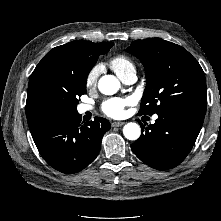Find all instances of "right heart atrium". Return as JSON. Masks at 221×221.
<instances>
[{
	"label": "right heart atrium",
	"instance_id": "d8ad5b80",
	"mask_svg": "<svg viewBox=\"0 0 221 221\" xmlns=\"http://www.w3.org/2000/svg\"><path fill=\"white\" fill-rule=\"evenodd\" d=\"M101 66L96 64L94 65L90 71L88 72L86 78H85V86L87 88H93L97 84V80L100 74Z\"/></svg>",
	"mask_w": 221,
	"mask_h": 221
}]
</instances>
